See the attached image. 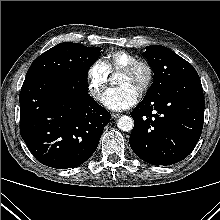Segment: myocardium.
Returning a JSON list of instances; mask_svg holds the SVG:
<instances>
[{"mask_svg": "<svg viewBox=\"0 0 220 220\" xmlns=\"http://www.w3.org/2000/svg\"><path fill=\"white\" fill-rule=\"evenodd\" d=\"M139 69H144L146 72V78L138 90V93L140 95H143L147 91H149V89L151 88V86L154 82V69H153L152 65L145 60L137 59V60L129 63L128 65H126L124 68H122V72L128 73V74H133V73L137 72Z\"/></svg>", "mask_w": 220, "mask_h": 220, "instance_id": "myocardium-1", "label": "myocardium"}]
</instances>
